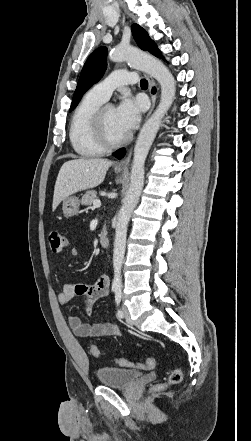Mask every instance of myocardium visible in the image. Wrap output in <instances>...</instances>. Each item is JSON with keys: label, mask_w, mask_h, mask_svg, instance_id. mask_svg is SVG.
<instances>
[{"label": "myocardium", "mask_w": 251, "mask_h": 441, "mask_svg": "<svg viewBox=\"0 0 251 441\" xmlns=\"http://www.w3.org/2000/svg\"><path fill=\"white\" fill-rule=\"evenodd\" d=\"M107 106H101L95 113L93 117L92 127H93V133L97 140V142L104 148V149H113L116 147H119L126 143L129 140V135L126 134L122 138L118 140H112L106 131L105 128V122H104V113Z\"/></svg>", "instance_id": "myocardium-1"}]
</instances>
